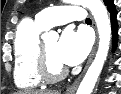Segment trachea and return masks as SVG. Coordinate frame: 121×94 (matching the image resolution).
<instances>
[{
  "mask_svg": "<svg viewBox=\"0 0 121 94\" xmlns=\"http://www.w3.org/2000/svg\"><path fill=\"white\" fill-rule=\"evenodd\" d=\"M85 21H86V22H91V19H90V18H86Z\"/></svg>",
  "mask_w": 121,
  "mask_h": 94,
  "instance_id": "trachea-1",
  "label": "trachea"
}]
</instances>
